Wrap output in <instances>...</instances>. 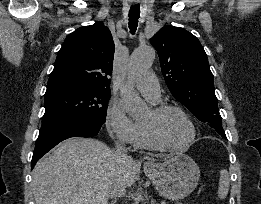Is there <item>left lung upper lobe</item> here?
<instances>
[{"label":"left lung upper lobe","mask_w":261,"mask_h":204,"mask_svg":"<svg viewBox=\"0 0 261 204\" xmlns=\"http://www.w3.org/2000/svg\"><path fill=\"white\" fill-rule=\"evenodd\" d=\"M172 95L224 139L213 75L200 41L180 27L161 28L151 39Z\"/></svg>","instance_id":"5c2ea615"}]
</instances>
